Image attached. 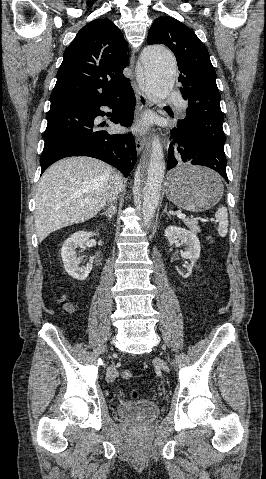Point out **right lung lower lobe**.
Returning a JSON list of instances; mask_svg holds the SVG:
<instances>
[{
    "mask_svg": "<svg viewBox=\"0 0 266 479\" xmlns=\"http://www.w3.org/2000/svg\"><path fill=\"white\" fill-rule=\"evenodd\" d=\"M136 100L129 84L119 92L91 101L54 105L47 114L40 157L41 174L54 162L70 156H89L107 162L127 177L137 154L132 134H110L100 130L94 119L104 116L101 106L113 109L111 121L129 127Z\"/></svg>",
    "mask_w": 266,
    "mask_h": 479,
    "instance_id": "1",
    "label": "right lung lower lobe"
}]
</instances>
